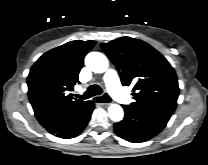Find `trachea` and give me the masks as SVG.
Returning <instances> with one entry per match:
<instances>
[{"instance_id": "1", "label": "trachea", "mask_w": 208, "mask_h": 165, "mask_svg": "<svg viewBox=\"0 0 208 165\" xmlns=\"http://www.w3.org/2000/svg\"><path fill=\"white\" fill-rule=\"evenodd\" d=\"M101 94H102V89L98 85H92L87 89V91L83 95H76V97L80 99H88L95 95H101ZM97 98H100L99 100H97V102L110 101V98L107 94H105L103 97H97Z\"/></svg>"}]
</instances>
